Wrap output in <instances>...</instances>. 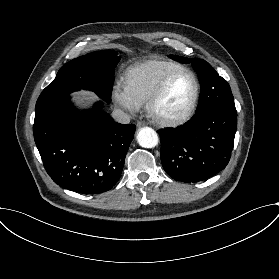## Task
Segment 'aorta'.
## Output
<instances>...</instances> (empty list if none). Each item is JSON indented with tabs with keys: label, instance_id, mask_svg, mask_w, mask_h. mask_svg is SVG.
Returning <instances> with one entry per match:
<instances>
[{
	"label": "aorta",
	"instance_id": "obj_1",
	"mask_svg": "<svg viewBox=\"0 0 279 279\" xmlns=\"http://www.w3.org/2000/svg\"><path fill=\"white\" fill-rule=\"evenodd\" d=\"M137 141L144 148H154L158 144L159 139L156 131L150 127H144L138 132Z\"/></svg>",
	"mask_w": 279,
	"mask_h": 279
}]
</instances>
